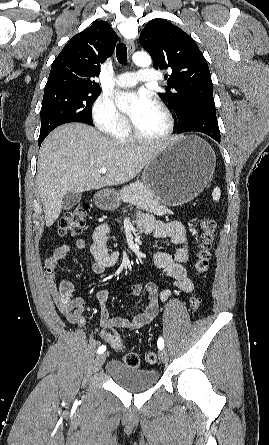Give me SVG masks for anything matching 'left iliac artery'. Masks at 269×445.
<instances>
[{
  "mask_svg": "<svg viewBox=\"0 0 269 445\" xmlns=\"http://www.w3.org/2000/svg\"><path fill=\"white\" fill-rule=\"evenodd\" d=\"M157 345H158V348H159L160 350H162V349L164 348V340H163L162 337H160V338L158 339Z\"/></svg>",
  "mask_w": 269,
  "mask_h": 445,
  "instance_id": "obj_1",
  "label": "left iliac artery"
}]
</instances>
